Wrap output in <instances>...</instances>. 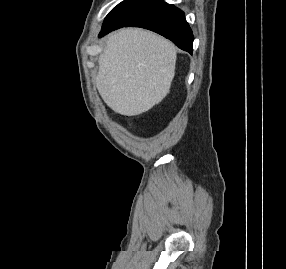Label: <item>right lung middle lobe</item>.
<instances>
[{
    "label": "right lung middle lobe",
    "instance_id": "obj_1",
    "mask_svg": "<svg viewBox=\"0 0 286 269\" xmlns=\"http://www.w3.org/2000/svg\"><path fill=\"white\" fill-rule=\"evenodd\" d=\"M162 1L163 0H124L114 7L106 16L102 30L121 28Z\"/></svg>",
    "mask_w": 286,
    "mask_h": 269
}]
</instances>
